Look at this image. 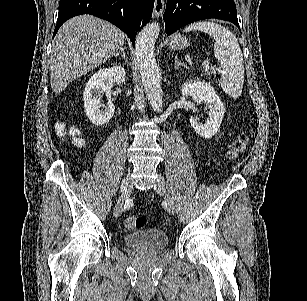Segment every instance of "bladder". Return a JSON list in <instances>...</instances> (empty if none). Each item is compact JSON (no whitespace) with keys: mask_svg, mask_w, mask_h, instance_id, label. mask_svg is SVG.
<instances>
[{"mask_svg":"<svg viewBox=\"0 0 307 301\" xmlns=\"http://www.w3.org/2000/svg\"><path fill=\"white\" fill-rule=\"evenodd\" d=\"M124 244L145 250L165 249L169 238L165 232L157 228H148L142 232H135L123 238Z\"/></svg>","mask_w":307,"mask_h":301,"instance_id":"obj_1","label":"bladder"}]
</instances>
